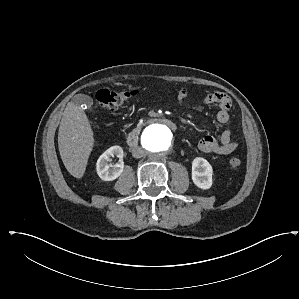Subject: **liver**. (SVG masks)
Returning <instances> with one entry per match:
<instances>
[{"label": "liver", "instance_id": "1", "mask_svg": "<svg viewBox=\"0 0 299 299\" xmlns=\"http://www.w3.org/2000/svg\"><path fill=\"white\" fill-rule=\"evenodd\" d=\"M94 146V133L82 108L69 102L63 112L58 132V147L67 171L83 177Z\"/></svg>", "mask_w": 299, "mask_h": 299}]
</instances>
